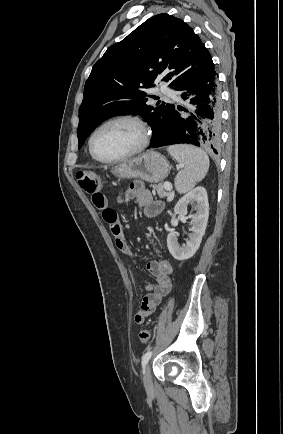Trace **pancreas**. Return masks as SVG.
<instances>
[{
  "label": "pancreas",
  "mask_w": 283,
  "mask_h": 434,
  "mask_svg": "<svg viewBox=\"0 0 283 434\" xmlns=\"http://www.w3.org/2000/svg\"><path fill=\"white\" fill-rule=\"evenodd\" d=\"M153 193L157 194L160 198L168 197L171 193L167 192L163 184L151 185Z\"/></svg>",
  "instance_id": "pancreas-1"
}]
</instances>
